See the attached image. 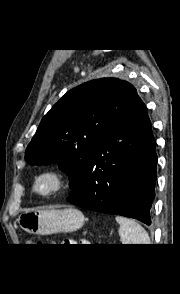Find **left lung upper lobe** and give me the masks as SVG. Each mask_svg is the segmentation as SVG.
Wrapping results in <instances>:
<instances>
[{
  "mask_svg": "<svg viewBox=\"0 0 180 294\" xmlns=\"http://www.w3.org/2000/svg\"><path fill=\"white\" fill-rule=\"evenodd\" d=\"M137 96L133 85L118 78L68 91L42 118L25 159L31 165L57 162L69 176L71 195L77 194L95 151Z\"/></svg>",
  "mask_w": 180,
  "mask_h": 294,
  "instance_id": "obj_1",
  "label": "left lung upper lobe"
}]
</instances>
